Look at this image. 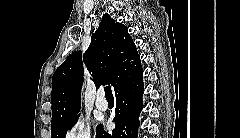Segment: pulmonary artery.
Instances as JSON below:
<instances>
[{
    "mask_svg": "<svg viewBox=\"0 0 240 138\" xmlns=\"http://www.w3.org/2000/svg\"><path fill=\"white\" fill-rule=\"evenodd\" d=\"M104 95L102 89L97 91L96 107L101 111H105L108 108V102L105 100Z\"/></svg>",
    "mask_w": 240,
    "mask_h": 138,
    "instance_id": "e3ab8cb5",
    "label": "pulmonary artery"
}]
</instances>
